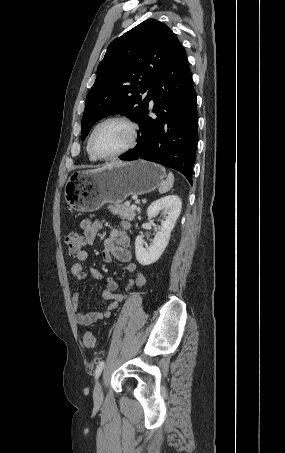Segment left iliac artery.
<instances>
[{
  "label": "left iliac artery",
  "mask_w": 285,
  "mask_h": 453,
  "mask_svg": "<svg viewBox=\"0 0 285 453\" xmlns=\"http://www.w3.org/2000/svg\"><path fill=\"white\" fill-rule=\"evenodd\" d=\"M103 367H104V361L99 362V364L97 365L96 370H95V379H97L100 376V374L103 370Z\"/></svg>",
  "instance_id": "1"
}]
</instances>
